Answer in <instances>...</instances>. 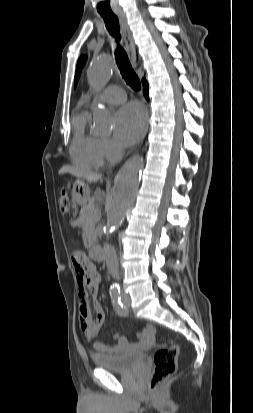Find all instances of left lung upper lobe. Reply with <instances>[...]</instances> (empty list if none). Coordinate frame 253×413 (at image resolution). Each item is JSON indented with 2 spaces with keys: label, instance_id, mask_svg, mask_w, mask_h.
I'll return each instance as SVG.
<instances>
[{
  "label": "left lung upper lobe",
  "instance_id": "left-lung-upper-lobe-1",
  "mask_svg": "<svg viewBox=\"0 0 253 413\" xmlns=\"http://www.w3.org/2000/svg\"><path fill=\"white\" fill-rule=\"evenodd\" d=\"M85 61H86V56H82L79 59L78 63H77V68H76V72H75L74 86H76V84H77V81H78L80 73H81V69L85 64Z\"/></svg>",
  "mask_w": 253,
  "mask_h": 413
}]
</instances>
